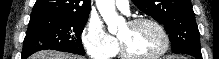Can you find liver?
I'll return each instance as SVG.
<instances>
[{"label":"liver","mask_w":219,"mask_h":59,"mask_svg":"<svg viewBox=\"0 0 219 59\" xmlns=\"http://www.w3.org/2000/svg\"><path fill=\"white\" fill-rule=\"evenodd\" d=\"M30 59H83L82 57L54 50H44L33 54Z\"/></svg>","instance_id":"liver-1"}]
</instances>
